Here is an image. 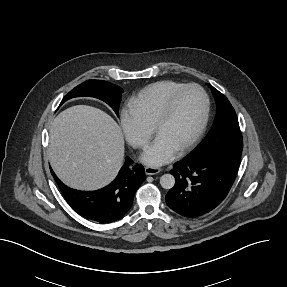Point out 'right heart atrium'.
Returning a JSON list of instances; mask_svg holds the SVG:
<instances>
[{
	"label": "right heart atrium",
	"instance_id": "1",
	"mask_svg": "<svg viewBox=\"0 0 287 287\" xmlns=\"http://www.w3.org/2000/svg\"><path fill=\"white\" fill-rule=\"evenodd\" d=\"M120 123L129 144L136 148L146 146L151 137L152 130L135 112L129 108H124L120 114Z\"/></svg>",
	"mask_w": 287,
	"mask_h": 287
}]
</instances>
